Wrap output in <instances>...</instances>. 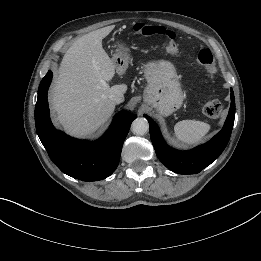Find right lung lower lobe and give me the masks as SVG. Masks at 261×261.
Instances as JSON below:
<instances>
[{"mask_svg": "<svg viewBox=\"0 0 261 261\" xmlns=\"http://www.w3.org/2000/svg\"><path fill=\"white\" fill-rule=\"evenodd\" d=\"M52 79L48 71L38 88L35 107L37 134L53 163L65 174L83 181H97L110 176L117 168L123 142L136 118L119 112L107 132L97 141L73 139L54 128L49 117L47 91Z\"/></svg>", "mask_w": 261, "mask_h": 261, "instance_id": "98d812e1", "label": "right lung lower lobe"}]
</instances>
